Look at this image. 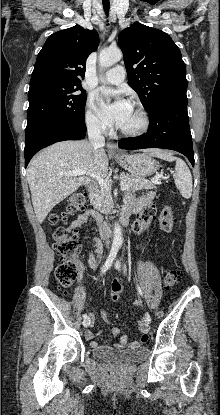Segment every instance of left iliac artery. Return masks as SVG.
Segmentation results:
<instances>
[{
	"label": "left iliac artery",
	"instance_id": "obj_1",
	"mask_svg": "<svg viewBox=\"0 0 220 415\" xmlns=\"http://www.w3.org/2000/svg\"><path fill=\"white\" fill-rule=\"evenodd\" d=\"M136 288H137V291H138L139 295L142 297L143 296L142 290H141L140 286L137 283H136ZM145 316H146V319L148 321H151V317H150L149 313H146Z\"/></svg>",
	"mask_w": 220,
	"mask_h": 415
}]
</instances>
